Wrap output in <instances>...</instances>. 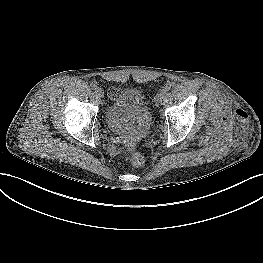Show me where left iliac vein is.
Here are the masks:
<instances>
[{"mask_svg":"<svg viewBox=\"0 0 263 263\" xmlns=\"http://www.w3.org/2000/svg\"><path fill=\"white\" fill-rule=\"evenodd\" d=\"M155 102H156L157 104H160V103L162 102V97H161L160 95H157V96L155 97Z\"/></svg>","mask_w":263,"mask_h":263,"instance_id":"left-iliac-vein-1","label":"left iliac vein"}]
</instances>
